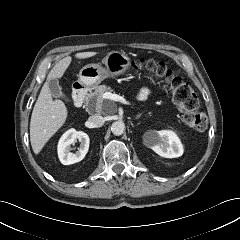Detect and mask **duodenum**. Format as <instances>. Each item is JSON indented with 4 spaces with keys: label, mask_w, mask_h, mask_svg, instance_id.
I'll return each instance as SVG.
<instances>
[{
    "label": "duodenum",
    "mask_w": 240,
    "mask_h": 240,
    "mask_svg": "<svg viewBox=\"0 0 240 240\" xmlns=\"http://www.w3.org/2000/svg\"><path fill=\"white\" fill-rule=\"evenodd\" d=\"M87 89L84 85H76L73 89V104L75 107H80L85 99Z\"/></svg>",
    "instance_id": "1"
}]
</instances>
